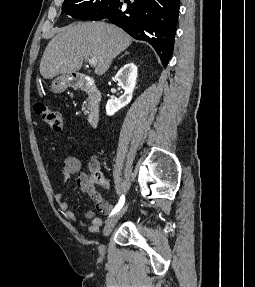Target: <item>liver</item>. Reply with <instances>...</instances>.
I'll return each mask as SVG.
<instances>
[{
	"instance_id": "1",
	"label": "liver",
	"mask_w": 255,
	"mask_h": 287,
	"mask_svg": "<svg viewBox=\"0 0 255 287\" xmlns=\"http://www.w3.org/2000/svg\"><path fill=\"white\" fill-rule=\"evenodd\" d=\"M132 44V38L121 28L105 22H77L61 28L50 40L40 62V74L52 80L59 74H74L82 68L84 58H97L94 70L102 76L112 60Z\"/></svg>"
}]
</instances>
